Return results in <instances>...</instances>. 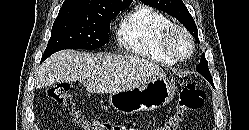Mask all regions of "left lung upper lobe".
Listing matches in <instances>:
<instances>
[{
	"label": "left lung upper lobe",
	"instance_id": "1",
	"mask_svg": "<svg viewBox=\"0 0 249 130\" xmlns=\"http://www.w3.org/2000/svg\"><path fill=\"white\" fill-rule=\"evenodd\" d=\"M142 2L175 17L186 27L187 30L190 31L191 35L199 43L196 24L182 0H142ZM196 71L204 76L210 84L214 86L204 53L202 54L200 63L196 67Z\"/></svg>",
	"mask_w": 249,
	"mask_h": 130
}]
</instances>
